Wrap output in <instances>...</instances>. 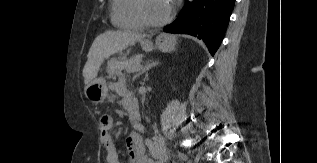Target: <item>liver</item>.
Wrapping results in <instances>:
<instances>
[{"label":"liver","instance_id":"1","mask_svg":"<svg viewBox=\"0 0 317 163\" xmlns=\"http://www.w3.org/2000/svg\"><path fill=\"white\" fill-rule=\"evenodd\" d=\"M145 35L129 31H106L93 41L83 68L84 83L88 85L98 74L104 59L142 41Z\"/></svg>","mask_w":317,"mask_h":163}]
</instances>
